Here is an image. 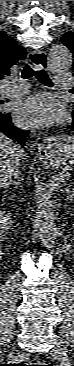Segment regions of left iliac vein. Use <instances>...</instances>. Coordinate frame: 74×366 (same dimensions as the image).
Returning a JSON list of instances; mask_svg holds the SVG:
<instances>
[{"instance_id": "1", "label": "left iliac vein", "mask_w": 74, "mask_h": 366, "mask_svg": "<svg viewBox=\"0 0 74 366\" xmlns=\"http://www.w3.org/2000/svg\"><path fill=\"white\" fill-rule=\"evenodd\" d=\"M56 351L60 352L61 355L66 356V346L62 341H57Z\"/></svg>"}]
</instances>
